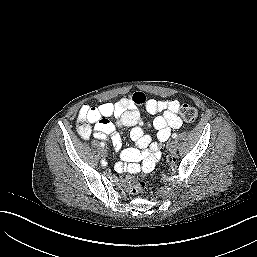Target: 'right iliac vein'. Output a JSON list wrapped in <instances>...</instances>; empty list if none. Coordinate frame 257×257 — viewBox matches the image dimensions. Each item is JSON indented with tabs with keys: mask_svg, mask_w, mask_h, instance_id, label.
<instances>
[{
	"mask_svg": "<svg viewBox=\"0 0 257 257\" xmlns=\"http://www.w3.org/2000/svg\"><path fill=\"white\" fill-rule=\"evenodd\" d=\"M101 153H102V156H103V157H106L107 154H108V153H107V150H106L105 148L102 149V152H101Z\"/></svg>",
	"mask_w": 257,
	"mask_h": 257,
	"instance_id": "right-iliac-vein-1",
	"label": "right iliac vein"
}]
</instances>
